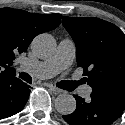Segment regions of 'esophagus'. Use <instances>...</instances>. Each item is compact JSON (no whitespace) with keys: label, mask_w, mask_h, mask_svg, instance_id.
<instances>
[{"label":"esophagus","mask_w":125,"mask_h":125,"mask_svg":"<svg viewBox=\"0 0 125 125\" xmlns=\"http://www.w3.org/2000/svg\"><path fill=\"white\" fill-rule=\"evenodd\" d=\"M49 90L55 95H58L62 92L59 88L52 85L49 86Z\"/></svg>","instance_id":"obj_1"}]
</instances>
